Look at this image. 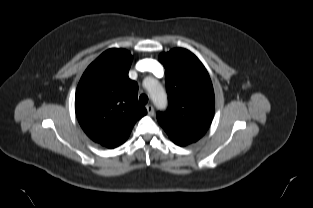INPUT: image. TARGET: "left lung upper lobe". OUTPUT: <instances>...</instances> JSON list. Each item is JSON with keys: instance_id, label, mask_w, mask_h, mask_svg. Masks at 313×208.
<instances>
[{"instance_id": "1", "label": "left lung upper lobe", "mask_w": 313, "mask_h": 208, "mask_svg": "<svg viewBox=\"0 0 313 208\" xmlns=\"http://www.w3.org/2000/svg\"><path fill=\"white\" fill-rule=\"evenodd\" d=\"M166 70L169 107L157 120L170 139L186 146L200 139L214 115L213 86L203 64L190 51L175 48L159 56Z\"/></svg>"}]
</instances>
